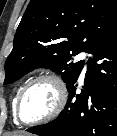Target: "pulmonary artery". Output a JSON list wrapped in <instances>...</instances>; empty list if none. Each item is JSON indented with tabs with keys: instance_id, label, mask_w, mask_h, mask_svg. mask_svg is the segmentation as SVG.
<instances>
[{
	"instance_id": "e3ab8cb5",
	"label": "pulmonary artery",
	"mask_w": 117,
	"mask_h": 136,
	"mask_svg": "<svg viewBox=\"0 0 117 136\" xmlns=\"http://www.w3.org/2000/svg\"><path fill=\"white\" fill-rule=\"evenodd\" d=\"M87 57H88V54L86 52H82L78 55V59L79 60H83L84 63H85V66H84V71H86V68H87V65H86V62H87Z\"/></svg>"
}]
</instances>
